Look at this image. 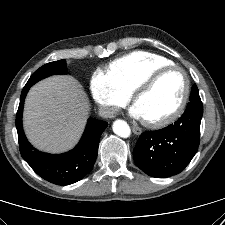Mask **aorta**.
<instances>
[{"label": "aorta", "mask_w": 225, "mask_h": 225, "mask_svg": "<svg viewBox=\"0 0 225 225\" xmlns=\"http://www.w3.org/2000/svg\"><path fill=\"white\" fill-rule=\"evenodd\" d=\"M112 128L113 132L122 138H128L131 135V129L124 120L118 119L114 121Z\"/></svg>", "instance_id": "1"}]
</instances>
